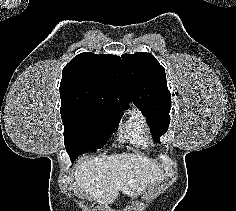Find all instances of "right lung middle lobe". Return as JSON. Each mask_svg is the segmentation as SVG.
Returning <instances> with one entry per match:
<instances>
[{
  "instance_id": "obj_1",
  "label": "right lung middle lobe",
  "mask_w": 236,
  "mask_h": 211,
  "mask_svg": "<svg viewBox=\"0 0 236 211\" xmlns=\"http://www.w3.org/2000/svg\"><path fill=\"white\" fill-rule=\"evenodd\" d=\"M66 151L71 159L102 148L117 127L122 110L60 109Z\"/></svg>"
}]
</instances>
